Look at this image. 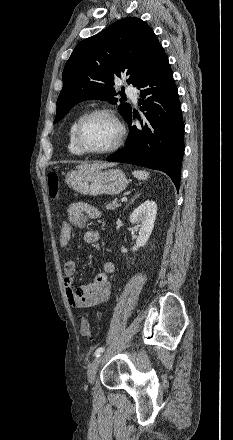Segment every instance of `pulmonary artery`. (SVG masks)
I'll return each instance as SVG.
<instances>
[{"label": "pulmonary artery", "mask_w": 233, "mask_h": 440, "mask_svg": "<svg viewBox=\"0 0 233 440\" xmlns=\"http://www.w3.org/2000/svg\"><path fill=\"white\" fill-rule=\"evenodd\" d=\"M126 92L134 101H136L138 95L136 88H134L133 86H128L126 88Z\"/></svg>", "instance_id": "1"}]
</instances>
